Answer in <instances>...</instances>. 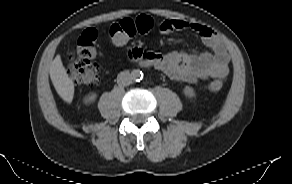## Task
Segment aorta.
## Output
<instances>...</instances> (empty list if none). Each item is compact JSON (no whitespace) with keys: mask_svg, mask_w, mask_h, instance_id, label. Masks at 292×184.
I'll use <instances>...</instances> for the list:
<instances>
[{"mask_svg":"<svg viewBox=\"0 0 292 184\" xmlns=\"http://www.w3.org/2000/svg\"><path fill=\"white\" fill-rule=\"evenodd\" d=\"M131 76L133 81H139L143 78V73L142 71L135 69L131 72Z\"/></svg>","mask_w":292,"mask_h":184,"instance_id":"obj_1","label":"aorta"}]
</instances>
